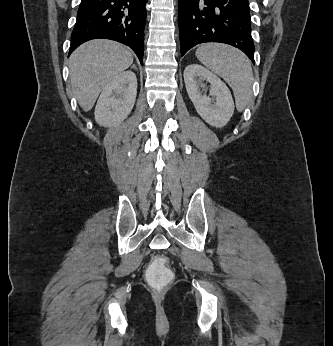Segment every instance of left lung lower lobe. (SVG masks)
<instances>
[{"instance_id":"obj_1","label":"left lung lower lobe","mask_w":333,"mask_h":346,"mask_svg":"<svg viewBox=\"0 0 333 346\" xmlns=\"http://www.w3.org/2000/svg\"><path fill=\"white\" fill-rule=\"evenodd\" d=\"M181 55L204 42L242 50L254 63L248 0H178Z\"/></svg>"}]
</instances>
